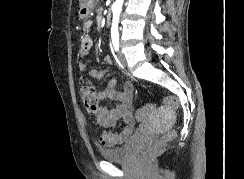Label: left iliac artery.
Listing matches in <instances>:
<instances>
[{
    "label": "left iliac artery",
    "mask_w": 244,
    "mask_h": 179,
    "mask_svg": "<svg viewBox=\"0 0 244 179\" xmlns=\"http://www.w3.org/2000/svg\"><path fill=\"white\" fill-rule=\"evenodd\" d=\"M111 39H112V44L113 47L116 51L119 49V33L117 30H112L111 31Z\"/></svg>",
    "instance_id": "obj_1"
}]
</instances>
